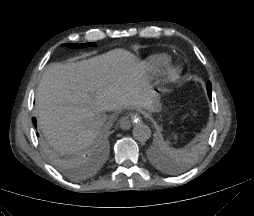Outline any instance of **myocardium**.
<instances>
[{
  "label": "myocardium",
  "mask_w": 254,
  "mask_h": 216,
  "mask_svg": "<svg viewBox=\"0 0 254 216\" xmlns=\"http://www.w3.org/2000/svg\"><path fill=\"white\" fill-rule=\"evenodd\" d=\"M179 67L178 66H170L168 67L167 71H166V80L167 81H173L177 78L178 74H179Z\"/></svg>",
  "instance_id": "1"
}]
</instances>
